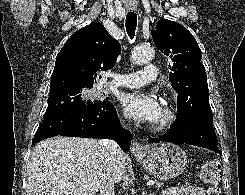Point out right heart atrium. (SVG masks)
<instances>
[{
	"label": "right heart atrium",
	"mask_w": 245,
	"mask_h": 195,
	"mask_svg": "<svg viewBox=\"0 0 245 195\" xmlns=\"http://www.w3.org/2000/svg\"><path fill=\"white\" fill-rule=\"evenodd\" d=\"M126 120H127V116L126 115H123L122 121L125 122Z\"/></svg>",
	"instance_id": "1"
}]
</instances>
